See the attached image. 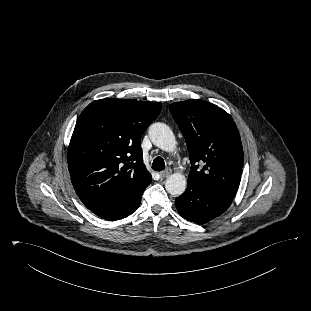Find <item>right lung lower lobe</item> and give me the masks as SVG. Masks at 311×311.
I'll return each instance as SVG.
<instances>
[{
    "mask_svg": "<svg viewBox=\"0 0 311 311\" xmlns=\"http://www.w3.org/2000/svg\"><path fill=\"white\" fill-rule=\"evenodd\" d=\"M141 202V197L138 198L135 202H133L131 205L127 207L122 208H101L97 206H91L86 205L88 209H90L93 213H95L97 216H99L102 219L108 220V221H114L126 218L133 212H135Z\"/></svg>",
    "mask_w": 311,
    "mask_h": 311,
    "instance_id": "1",
    "label": "right lung lower lobe"
}]
</instances>
